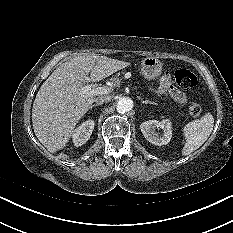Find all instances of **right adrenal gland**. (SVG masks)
Masks as SVG:
<instances>
[{"label": "right adrenal gland", "mask_w": 233, "mask_h": 233, "mask_svg": "<svg viewBox=\"0 0 233 233\" xmlns=\"http://www.w3.org/2000/svg\"><path fill=\"white\" fill-rule=\"evenodd\" d=\"M96 106H98V105L97 104H93V105L90 106V109L92 110V108H94Z\"/></svg>", "instance_id": "obj_1"}]
</instances>
